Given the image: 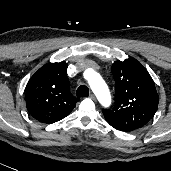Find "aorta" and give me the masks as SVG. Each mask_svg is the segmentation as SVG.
<instances>
[{"label":"aorta","instance_id":"762f6f07","mask_svg":"<svg viewBox=\"0 0 171 171\" xmlns=\"http://www.w3.org/2000/svg\"><path fill=\"white\" fill-rule=\"evenodd\" d=\"M89 84L101 104L104 106H108L111 102V96L109 93V89L101 76L93 71L92 75L89 78Z\"/></svg>","mask_w":171,"mask_h":171}]
</instances>
